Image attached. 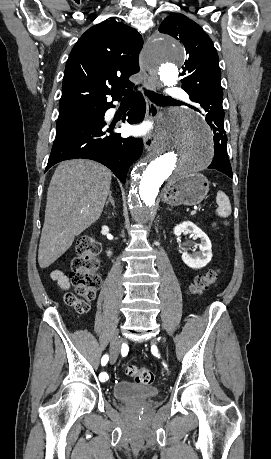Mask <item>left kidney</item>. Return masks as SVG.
Segmentation results:
<instances>
[{
	"label": "left kidney",
	"instance_id": "left-kidney-1",
	"mask_svg": "<svg viewBox=\"0 0 271 459\" xmlns=\"http://www.w3.org/2000/svg\"><path fill=\"white\" fill-rule=\"evenodd\" d=\"M182 231L195 233V237H200L201 239V243H198L200 251H195V253H187V251H183L182 259L184 263H187L189 267H197V269L198 267H204V265H207L212 257V245L208 235H206L202 229L197 228L193 222H182V224H178V226H175L173 233L179 237Z\"/></svg>",
	"mask_w": 271,
	"mask_h": 459
}]
</instances>
